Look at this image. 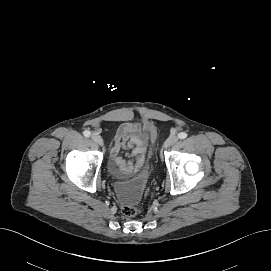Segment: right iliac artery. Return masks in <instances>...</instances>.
Here are the masks:
<instances>
[{
	"mask_svg": "<svg viewBox=\"0 0 271 271\" xmlns=\"http://www.w3.org/2000/svg\"><path fill=\"white\" fill-rule=\"evenodd\" d=\"M83 134L85 137H89L91 135V132L89 130H85Z\"/></svg>",
	"mask_w": 271,
	"mask_h": 271,
	"instance_id": "82829eb1",
	"label": "right iliac artery"
}]
</instances>
